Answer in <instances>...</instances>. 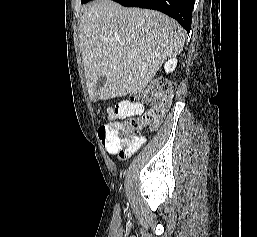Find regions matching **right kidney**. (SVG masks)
<instances>
[{
  "mask_svg": "<svg viewBox=\"0 0 257 237\" xmlns=\"http://www.w3.org/2000/svg\"><path fill=\"white\" fill-rule=\"evenodd\" d=\"M176 66H177V59H176V56H173L170 59H168V61L165 63L164 69L166 73H171L175 70Z\"/></svg>",
  "mask_w": 257,
  "mask_h": 237,
  "instance_id": "right-kidney-1",
  "label": "right kidney"
}]
</instances>
